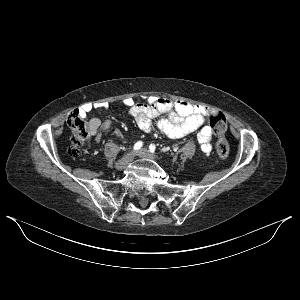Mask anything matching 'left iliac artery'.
<instances>
[{
  "mask_svg": "<svg viewBox=\"0 0 300 300\" xmlns=\"http://www.w3.org/2000/svg\"><path fill=\"white\" fill-rule=\"evenodd\" d=\"M155 149H156V147H155L154 144H151V145L149 146V151H150L151 153H154V152H155Z\"/></svg>",
  "mask_w": 300,
  "mask_h": 300,
  "instance_id": "1",
  "label": "left iliac artery"
}]
</instances>
